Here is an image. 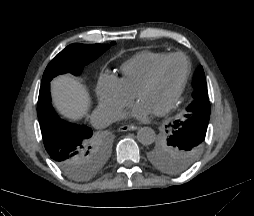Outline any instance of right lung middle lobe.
Returning a JSON list of instances; mask_svg holds the SVG:
<instances>
[{"mask_svg": "<svg viewBox=\"0 0 254 216\" xmlns=\"http://www.w3.org/2000/svg\"><path fill=\"white\" fill-rule=\"evenodd\" d=\"M114 44L115 42L111 43V45ZM109 47L110 45L101 44H71L67 46L48 64L43 74L41 84L49 83L53 77L67 72L79 75L85 65L97 59ZM95 138L96 144L92 153V160L95 162L96 171L98 172L107 161L108 144L98 137ZM71 171L74 175L65 173L76 180L87 179V177L81 173L78 163L72 165Z\"/></svg>", "mask_w": 254, "mask_h": 216, "instance_id": "1", "label": "right lung middle lobe"}]
</instances>
